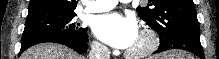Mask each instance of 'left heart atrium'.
Instances as JSON below:
<instances>
[{
	"label": "left heart atrium",
	"mask_w": 219,
	"mask_h": 59,
	"mask_svg": "<svg viewBox=\"0 0 219 59\" xmlns=\"http://www.w3.org/2000/svg\"><path fill=\"white\" fill-rule=\"evenodd\" d=\"M92 30L102 42L122 49L129 48L139 35L136 21L118 12L95 17Z\"/></svg>",
	"instance_id": "left-heart-atrium-1"
}]
</instances>
